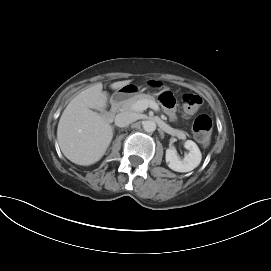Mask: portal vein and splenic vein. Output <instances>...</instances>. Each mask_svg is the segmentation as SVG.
Masks as SVG:
<instances>
[{
	"instance_id": "18ae733b",
	"label": "portal vein and splenic vein",
	"mask_w": 271,
	"mask_h": 271,
	"mask_svg": "<svg viewBox=\"0 0 271 271\" xmlns=\"http://www.w3.org/2000/svg\"><path fill=\"white\" fill-rule=\"evenodd\" d=\"M148 107H150L151 109H153L155 111L159 110V106L156 103L148 102L146 100L137 101L133 105V110L140 112V111L146 110Z\"/></svg>"
}]
</instances>
